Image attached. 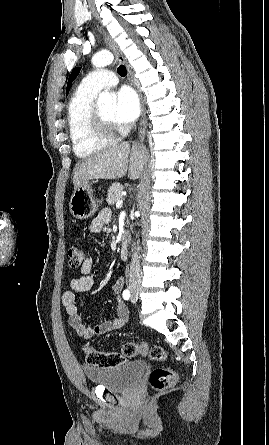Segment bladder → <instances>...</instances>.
<instances>
[{"instance_id":"1","label":"bladder","mask_w":269,"mask_h":445,"mask_svg":"<svg viewBox=\"0 0 269 445\" xmlns=\"http://www.w3.org/2000/svg\"><path fill=\"white\" fill-rule=\"evenodd\" d=\"M147 370L144 360H133L122 366L103 369L83 367L84 375L95 386L112 391H125L136 385Z\"/></svg>"}]
</instances>
